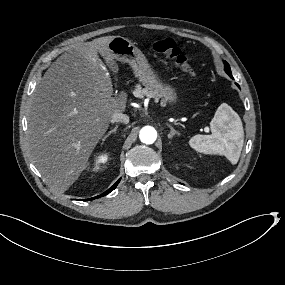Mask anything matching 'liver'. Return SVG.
Wrapping results in <instances>:
<instances>
[{
    "label": "liver",
    "mask_w": 285,
    "mask_h": 285,
    "mask_svg": "<svg viewBox=\"0 0 285 285\" xmlns=\"http://www.w3.org/2000/svg\"><path fill=\"white\" fill-rule=\"evenodd\" d=\"M112 39L102 37L75 45L36 85L27 118V146L48 185L60 193L87 168L113 113L126 110L127 93H113L112 78L105 69L107 65L115 74L119 71L109 49Z\"/></svg>",
    "instance_id": "1"
}]
</instances>
